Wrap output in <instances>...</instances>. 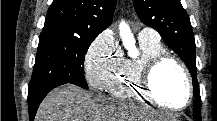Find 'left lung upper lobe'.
Returning <instances> with one entry per match:
<instances>
[{"mask_svg": "<svg viewBox=\"0 0 217 121\" xmlns=\"http://www.w3.org/2000/svg\"><path fill=\"white\" fill-rule=\"evenodd\" d=\"M140 20L157 30L164 42L175 51L188 67L193 82V113L201 121V97L196 79V46L188 14L179 0H133Z\"/></svg>", "mask_w": 217, "mask_h": 121, "instance_id": "5c2ea615", "label": "left lung upper lobe"}]
</instances>
